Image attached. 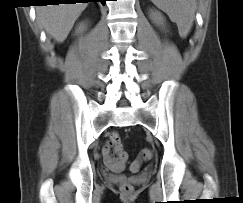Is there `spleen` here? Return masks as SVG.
Here are the masks:
<instances>
[{
	"instance_id": "3e777b00",
	"label": "spleen",
	"mask_w": 243,
	"mask_h": 203,
	"mask_svg": "<svg viewBox=\"0 0 243 203\" xmlns=\"http://www.w3.org/2000/svg\"><path fill=\"white\" fill-rule=\"evenodd\" d=\"M177 24L179 35L185 38L195 18L196 0H151Z\"/></svg>"
}]
</instances>
